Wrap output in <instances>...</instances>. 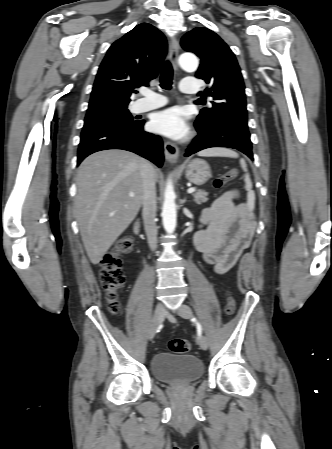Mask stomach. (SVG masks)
Returning a JSON list of instances; mask_svg holds the SVG:
<instances>
[{
    "instance_id": "obj_1",
    "label": "stomach",
    "mask_w": 332,
    "mask_h": 449,
    "mask_svg": "<svg viewBox=\"0 0 332 449\" xmlns=\"http://www.w3.org/2000/svg\"><path fill=\"white\" fill-rule=\"evenodd\" d=\"M185 176L188 181L195 185L205 184L211 177V169L203 159H192L183 165Z\"/></svg>"
}]
</instances>
